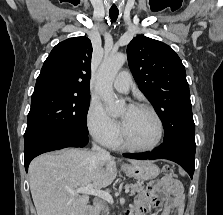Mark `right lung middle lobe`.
I'll use <instances>...</instances> for the list:
<instances>
[{"label": "right lung middle lobe", "mask_w": 223, "mask_h": 215, "mask_svg": "<svg viewBox=\"0 0 223 215\" xmlns=\"http://www.w3.org/2000/svg\"><path fill=\"white\" fill-rule=\"evenodd\" d=\"M89 104L90 97L60 93L33 94L24 140L56 133L87 136Z\"/></svg>", "instance_id": "obj_1"}]
</instances>
